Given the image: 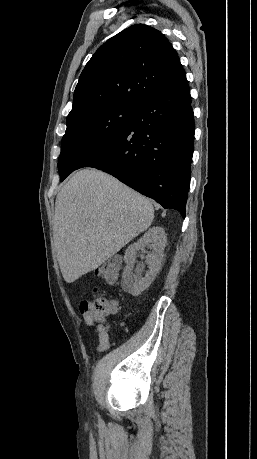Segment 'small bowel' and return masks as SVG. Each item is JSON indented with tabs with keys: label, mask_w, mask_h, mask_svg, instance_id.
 <instances>
[{
	"label": "small bowel",
	"mask_w": 257,
	"mask_h": 459,
	"mask_svg": "<svg viewBox=\"0 0 257 459\" xmlns=\"http://www.w3.org/2000/svg\"><path fill=\"white\" fill-rule=\"evenodd\" d=\"M114 280L109 281V283H114ZM113 307H112V315L116 314L118 312V303L117 301H112ZM83 320L86 325L90 327H95V329L98 332V337H99V345L96 348L97 352H103L106 351L109 346H110V341H109V328L110 325H105L102 320L96 319L92 314L85 313L83 314Z\"/></svg>",
	"instance_id": "1"
}]
</instances>
